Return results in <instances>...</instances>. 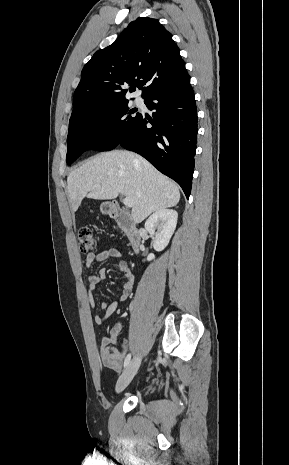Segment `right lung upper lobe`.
Here are the masks:
<instances>
[{"label": "right lung upper lobe", "mask_w": 289, "mask_h": 465, "mask_svg": "<svg viewBox=\"0 0 289 465\" xmlns=\"http://www.w3.org/2000/svg\"><path fill=\"white\" fill-rule=\"evenodd\" d=\"M190 80L179 48L157 19L137 18L110 46L97 51L84 66L74 93L69 127L78 108L101 100L126 99L129 84L142 89V98L163 89L181 86ZM145 86V87H144Z\"/></svg>", "instance_id": "1"}]
</instances>
